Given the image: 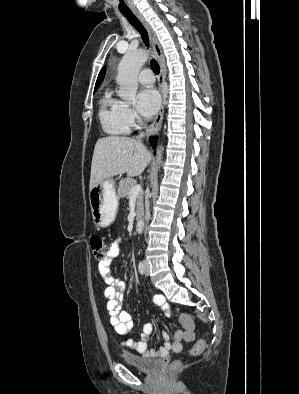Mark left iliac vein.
<instances>
[{
    "mask_svg": "<svg viewBox=\"0 0 299 394\" xmlns=\"http://www.w3.org/2000/svg\"><path fill=\"white\" fill-rule=\"evenodd\" d=\"M145 274H146V275L149 274V265H148V262H145Z\"/></svg>",
    "mask_w": 299,
    "mask_h": 394,
    "instance_id": "obj_1",
    "label": "left iliac vein"
}]
</instances>
